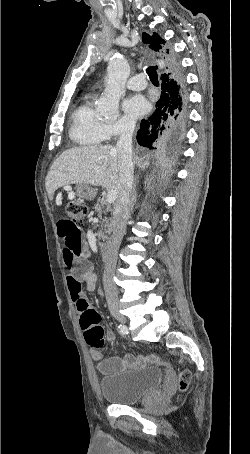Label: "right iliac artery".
I'll list each match as a JSON object with an SVG mask.
<instances>
[{
    "mask_svg": "<svg viewBox=\"0 0 250 454\" xmlns=\"http://www.w3.org/2000/svg\"><path fill=\"white\" fill-rule=\"evenodd\" d=\"M118 329H119V332H120L121 334H123V335L128 334V331H127V327H126V326H123V325L120 324V325L118 326Z\"/></svg>",
    "mask_w": 250,
    "mask_h": 454,
    "instance_id": "obj_1",
    "label": "right iliac artery"
}]
</instances>
